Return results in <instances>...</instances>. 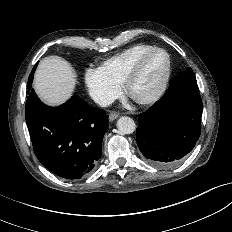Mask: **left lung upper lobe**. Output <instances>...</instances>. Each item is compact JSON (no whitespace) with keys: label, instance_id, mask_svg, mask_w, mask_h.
Instances as JSON below:
<instances>
[{"label":"left lung upper lobe","instance_id":"1","mask_svg":"<svg viewBox=\"0 0 232 232\" xmlns=\"http://www.w3.org/2000/svg\"><path fill=\"white\" fill-rule=\"evenodd\" d=\"M183 89H198L195 74L191 68L177 75L175 78Z\"/></svg>","mask_w":232,"mask_h":232}]
</instances>
